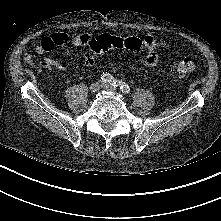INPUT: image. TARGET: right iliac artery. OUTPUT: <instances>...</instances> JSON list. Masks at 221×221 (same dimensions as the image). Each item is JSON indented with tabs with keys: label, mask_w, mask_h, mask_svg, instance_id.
I'll use <instances>...</instances> for the list:
<instances>
[{
	"label": "right iliac artery",
	"mask_w": 221,
	"mask_h": 221,
	"mask_svg": "<svg viewBox=\"0 0 221 221\" xmlns=\"http://www.w3.org/2000/svg\"><path fill=\"white\" fill-rule=\"evenodd\" d=\"M101 80L103 81V82H107V83H110V84H113L114 83V78H113V76L111 75V74H109V73H103L102 75H101Z\"/></svg>",
	"instance_id": "right-iliac-artery-1"
}]
</instances>
